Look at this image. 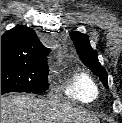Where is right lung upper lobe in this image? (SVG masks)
Masks as SVG:
<instances>
[{
	"label": "right lung upper lobe",
	"mask_w": 122,
	"mask_h": 123,
	"mask_svg": "<svg viewBox=\"0 0 122 123\" xmlns=\"http://www.w3.org/2000/svg\"><path fill=\"white\" fill-rule=\"evenodd\" d=\"M49 52L29 27L18 25L1 36V57L47 60Z\"/></svg>",
	"instance_id": "cb5924a9"
}]
</instances>
